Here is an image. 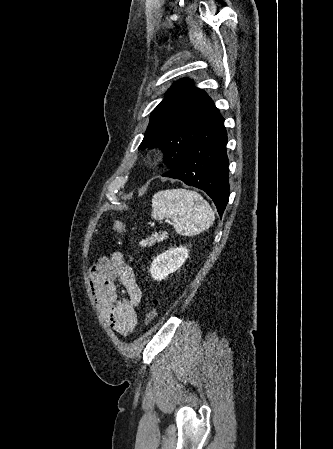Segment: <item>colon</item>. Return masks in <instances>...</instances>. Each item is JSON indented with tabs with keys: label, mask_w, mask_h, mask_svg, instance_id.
Here are the masks:
<instances>
[{
	"label": "colon",
	"mask_w": 333,
	"mask_h": 449,
	"mask_svg": "<svg viewBox=\"0 0 333 449\" xmlns=\"http://www.w3.org/2000/svg\"><path fill=\"white\" fill-rule=\"evenodd\" d=\"M113 227H114V230L119 234H123L126 231L125 224L120 220H115ZM158 305H159V301L154 300L153 306L147 311V313L145 315V319H144V323L146 326L151 325L155 321V319L158 315V308H157Z\"/></svg>",
	"instance_id": "5ec220e1"
}]
</instances>
